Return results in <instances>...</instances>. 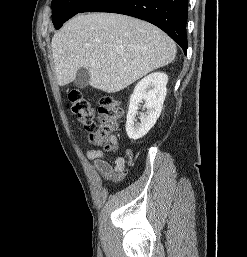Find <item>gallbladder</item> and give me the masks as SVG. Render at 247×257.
Instances as JSON below:
<instances>
[{
  "instance_id": "bac80fb5",
  "label": "gallbladder",
  "mask_w": 247,
  "mask_h": 257,
  "mask_svg": "<svg viewBox=\"0 0 247 257\" xmlns=\"http://www.w3.org/2000/svg\"><path fill=\"white\" fill-rule=\"evenodd\" d=\"M89 78H90L89 71L85 68H80L76 73L74 85L80 89H83L88 86Z\"/></svg>"
}]
</instances>
